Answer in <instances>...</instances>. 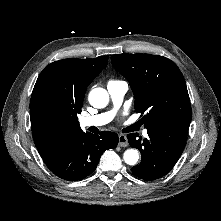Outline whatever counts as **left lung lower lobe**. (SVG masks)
Wrapping results in <instances>:
<instances>
[{
    "label": "left lung lower lobe",
    "mask_w": 221,
    "mask_h": 221,
    "mask_svg": "<svg viewBox=\"0 0 221 221\" xmlns=\"http://www.w3.org/2000/svg\"><path fill=\"white\" fill-rule=\"evenodd\" d=\"M187 131L179 126L154 125L147 127L148 139L128 134L130 146L137 148L142 155L141 162L131 168L132 173L146 181L168 174L185 148Z\"/></svg>",
    "instance_id": "left-lung-lower-lobe-1"
}]
</instances>
